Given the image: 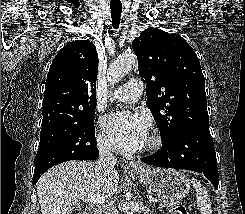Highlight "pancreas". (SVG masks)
<instances>
[{
  "mask_svg": "<svg viewBox=\"0 0 245 214\" xmlns=\"http://www.w3.org/2000/svg\"><path fill=\"white\" fill-rule=\"evenodd\" d=\"M159 203L161 207H168L170 205V201L166 199H159ZM117 210L114 205H109L101 209V214H116Z\"/></svg>",
  "mask_w": 245,
  "mask_h": 214,
  "instance_id": "cf45deb5",
  "label": "pancreas"
}]
</instances>
